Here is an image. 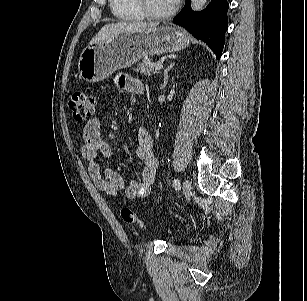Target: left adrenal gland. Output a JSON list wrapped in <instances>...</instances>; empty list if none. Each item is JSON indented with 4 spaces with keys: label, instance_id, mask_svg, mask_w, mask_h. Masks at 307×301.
Returning <instances> with one entry per match:
<instances>
[{
    "label": "left adrenal gland",
    "instance_id": "1",
    "mask_svg": "<svg viewBox=\"0 0 307 301\" xmlns=\"http://www.w3.org/2000/svg\"><path fill=\"white\" fill-rule=\"evenodd\" d=\"M175 63H171L164 71V83H163V87H165L167 85L168 82V78H169V71L172 69V67L174 66Z\"/></svg>",
    "mask_w": 307,
    "mask_h": 301
}]
</instances>
